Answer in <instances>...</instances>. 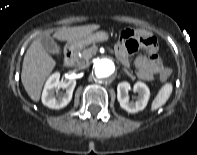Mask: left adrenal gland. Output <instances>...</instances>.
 <instances>
[{
  "mask_svg": "<svg viewBox=\"0 0 197 155\" xmlns=\"http://www.w3.org/2000/svg\"><path fill=\"white\" fill-rule=\"evenodd\" d=\"M123 71H124L127 75H129V76H130V73L128 72V70L123 69Z\"/></svg>",
  "mask_w": 197,
  "mask_h": 155,
  "instance_id": "1",
  "label": "left adrenal gland"
}]
</instances>
